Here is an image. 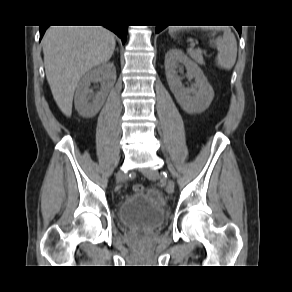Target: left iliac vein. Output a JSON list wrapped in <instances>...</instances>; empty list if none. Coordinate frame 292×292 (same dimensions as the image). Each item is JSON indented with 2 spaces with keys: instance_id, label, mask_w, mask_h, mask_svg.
<instances>
[{
  "instance_id": "1",
  "label": "left iliac vein",
  "mask_w": 292,
  "mask_h": 292,
  "mask_svg": "<svg viewBox=\"0 0 292 292\" xmlns=\"http://www.w3.org/2000/svg\"><path fill=\"white\" fill-rule=\"evenodd\" d=\"M142 173L151 180H155L159 177V172L155 169H143ZM165 189L168 194H173L174 182L171 179L165 181Z\"/></svg>"
}]
</instances>
